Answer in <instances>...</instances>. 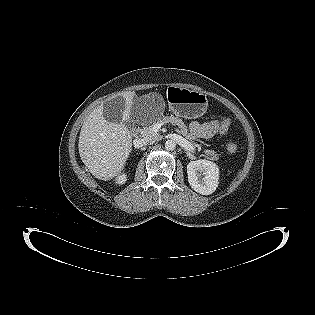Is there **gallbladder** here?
Listing matches in <instances>:
<instances>
[{"instance_id": "gallbladder-1", "label": "gallbladder", "mask_w": 315, "mask_h": 315, "mask_svg": "<svg viewBox=\"0 0 315 315\" xmlns=\"http://www.w3.org/2000/svg\"><path fill=\"white\" fill-rule=\"evenodd\" d=\"M124 99L122 97H116L110 101H107L103 105V117L114 123L123 122L124 116Z\"/></svg>"}]
</instances>
